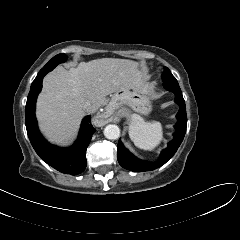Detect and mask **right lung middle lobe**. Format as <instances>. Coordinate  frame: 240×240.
I'll list each match as a JSON object with an SVG mask.
<instances>
[{
    "label": "right lung middle lobe",
    "mask_w": 240,
    "mask_h": 240,
    "mask_svg": "<svg viewBox=\"0 0 240 240\" xmlns=\"http://www.w3.org/2000/svg\"><path fill=\"white\" fill-rule=\"evenodd\" d=\"M67 59L65 54H58L53 57L42 69H49L50 71L59 63L64 62Z\"/></svg>",
    "instance_id": "dd1d6c3e"
}]
</instances>
